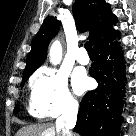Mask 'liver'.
<instances>
[{"mask_svg":"<svg viewBox=\"0 0 136 136\" xmlns=\"http://www.w3.org/2000/svg\"><path fill=\"white\" fill-rule=\"evenodd\" d=\"M16 136H61L52 124H37L21 128Z\"/></svg>","mask_w":136,"mask_h":136,"instance_id":"obj_1","label":"liver"}]
</instances>
